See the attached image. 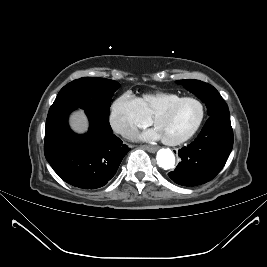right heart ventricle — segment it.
Wrapping results in <instances>:
<instances>
[{"mask_svg":"<svg viewBox=\"0 0 267 267\" xmlns=\"http://www.w3.org/2000/svg\"><path fill=\"white\" fill-rule=\"evenodd\" d=\"M181 97V95L173 92H155L143 94L138 99L144 113L149 118H152L158 110L180 99Z\"/></svg>","mask_w":267,"mask_h":267,"instance_id":"1","label":"right heart ventricle"}]
</instances>
